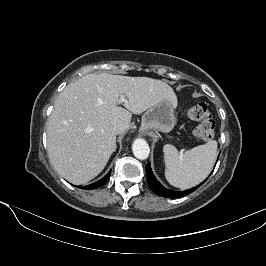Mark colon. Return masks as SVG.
<instances>
[{
	"label": "colon",
	"instance_id": "5ec220e1",
	"mask_svg": "<svg viewBox=\"0 0 266 266\" xmlns=\"http://www.w3.org/2000/svg\"><path fill=\"white\" fill-rule=\"evenodd\" d=\"M188 117L198 124L194 129V135L201 141H209L215 136V123L211 112L205 103H198L189 107Z\"/></svg>",
	"mask_w": 266,
	"mask_h": 266
}]
</instances>
